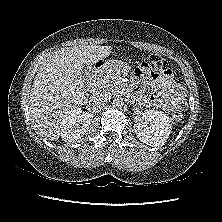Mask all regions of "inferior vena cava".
<instances>
[{
  "label": "inferior vena cava",
  "mask_w": 222,
  "mask_h": 222,
  "mask_svg": "<svg viewBox=\"0 0 222 222\" xmlns=\"http://www.w3.org/2000/svg\"><path fill=\"white\" fill-rule=\"evenodd\" d=\"M108 103V97L103 93H95L90 98V105L93 108L100 109Z\"/></svg>",
  "instance_id": "602c4592"
}]
</instances>
